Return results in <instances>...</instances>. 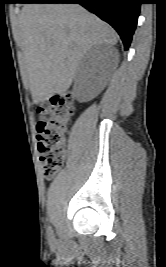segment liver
<instances>
[{
    "mask_svg": "<svg viewBox=\"0 0 166 267\" xmlns=\"http://www.w3.org/2000/svg\"><path fill=\"white\" fill-rule=\"evenodd\" d=\"M16 37L35 104L69 89L92 46L117 43L116 32L78 4L24 5Z\"/></svg>",
    "mask_w": 166,
    "mask_h": 267,
    "instance_id": "obj_1",
    "label": "liver"
}]
</instances>
